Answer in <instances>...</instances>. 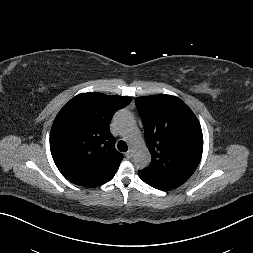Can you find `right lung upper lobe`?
<instances>
[{"mask_svg": "<svg viewBox=\"0 0 253 253\" xmlns=\"http://www.w3.org/2000/svg\"><path fill=\"white\" fill-rule=\"evenodd\" d=\"M130 102L125 96L89 92L63 106L51 128L50 149L66 179L97 187L115 175L123 155L114 148L109 124L114 113Z\"/></svg>", "mask_w": 253, "mask_h": 253, "instance_id": "1", "label": "right lung upper lobe"}]
</instances>
